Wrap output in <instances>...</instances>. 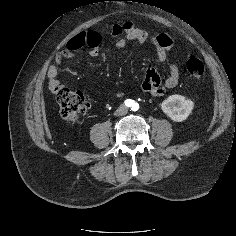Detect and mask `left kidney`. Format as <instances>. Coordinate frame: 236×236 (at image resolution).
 Returning <instances> with one entry per match:
<instances>
[{
    "instance_id": "left-kidney-1",
    "label": "left kidney",
    "mask_w": 236,
    "mask_h": 236,
    "mask_svg": "<svg viewBox=\"0 0 236 236\" xmlns=\"http://www.w3.org/2000/svg\"><path fill=\"white\" fill-rule=\"evenodd\" d=\"M162 111L173 121L182 122L188 118L194 108V102L184 96H169L161 104Z\"/></svg>"
}]
</instances>
